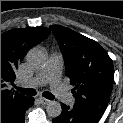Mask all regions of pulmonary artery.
<instances>
[{
  "label": "pulmonary artery",
  "instance_id": "pulmonary-artery-1",
  "mask_svg": "<svg viewBox=\"0 0 123 123\" xmlns=\"http://www.w3.org/2000/svg\"><path fill=\"white\" fill-rule=\"evenodd\" d=\"M61 66V55L53 53L49 57L45 67L35 77L21 85L26 87H36L49 83L56 97L63 103L70 105L74 102V98L61 81Z\"/></svg>",
  "mask_w": 123,
  "mask_h": 123
}]
</instances>
